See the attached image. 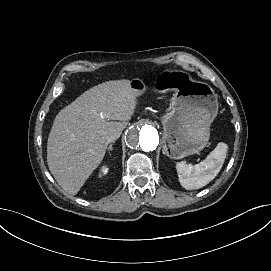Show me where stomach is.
<instances>
[{"label":"stomach","mask_w":271,"mask_h":271,"mask_svg":"<svg viewBox=\"0 0 271 271\" xmlns=\"http://www.w3.org/2000/svg\"><path fill=\"white\" fill-rule=\"evenodd\" d=\"M131 88L142 93L145 85L139 79ZM158 92L174 91L172 110L162 117L163 153L171 159H182L199 153L210 137V125L218 113V98L213 88L194 81L183 71H164L154 83Z\"/></svg>","instance_id":"1"}]
</instances>
